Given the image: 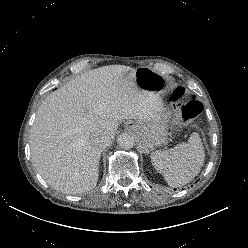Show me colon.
<instances>
[{
	"label": "colon",
	"instance_id": "obj_1",
	"mask_svg": "<svg viewBox=\"0 0 248 248\" xmlns=\"http://www.w3.org/2000/svg\"><path fill=\"white\" fill-rule=\"evenodd\" d=\"M172 98L174 101H180L186 98L184 88L178 87L173 91ZM201 105L198 101L189 99L181 106V118L184 122H192L200 113Z\"/></svg>",
	"mask_w": 248,
	"mask_h": 248
}]
</instances>
